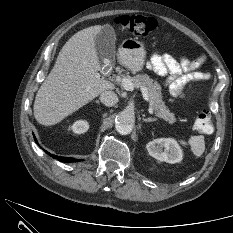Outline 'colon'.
Instances as JSON below:
<instances>
[{
    "instance_id": "colon-1",
    "label": "colon",
    "mask_w": 233,
    "mask_h": 233,
    "mask_svg": "<svg viewBox=\"0 0 233 233\" xmlns=\"http://www.w3.org/2000/svg\"><path fill=\"white\" fill-rule=\"evenodd\" d=\"M115 23L122 31L140 36L150 34L157 26L154 18L141 15H122L115 19ZM194 128L202 134L213 132V122L208 111H203L197 116Z\"/></svg>"
}]
</instances>
